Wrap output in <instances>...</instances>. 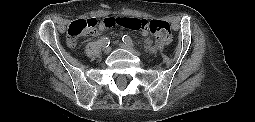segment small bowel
<instances>
[{
  "label": "small bowel",
  "instance_id": "obj_1",
  "mask_svg": "<svg viewBox=\"0 0 255 122\" xmlns=\"http://www.w3.org/2000/svg\"><path fill=\"white\" fill-rule=\"evenodd\" d=\"M107 28H109V26L106 24V19L102 20L99 25H98V28H97V31H96V34H100L102 33L103 31H105ZM143 35H148V32L147 31H143L142 32ZM148 42H150V39L147 40Z\"/></svg>",
  "mask_w": 255,
  "mask_h": 122
}]
</instances>
